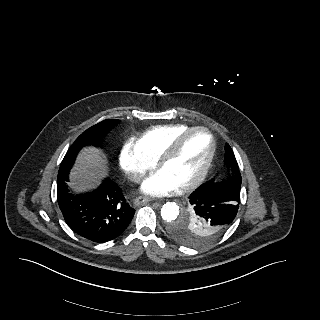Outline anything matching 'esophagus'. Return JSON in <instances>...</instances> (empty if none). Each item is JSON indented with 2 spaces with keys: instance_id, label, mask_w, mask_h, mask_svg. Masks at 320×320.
<instances>
[{
  "instance_id": "34e87169",
  "label": "esophagus",
  "mask_w": 320,
  "mask_h": 320,
  "mask_svg": "<svg viewBox=\"0 0 320 320\" xmlns=\"http://www.w3.org/2000/svg\"><path fill=\"white\" fill-rule=\"evenodd\" d=\"M150 199L148 197H145V196H140V197H137L135 200H134V204L136 206H139V205H142V204H145L147 202H149Z\"/></svg>"
}]
</instances>
